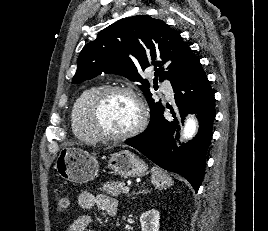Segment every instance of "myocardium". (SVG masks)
Masks as SVG:
<instances>
[{
    "instance_id": "myocardium-1",
    "label": "myocardium",
    "mask_w": 268,
    "mask_h": 231,
    "mask_svg": "<svg viewBox=\"0 0 268 231\" xmlns=\"http://www.w3.org/2000/svg\"><path fill=\"white\" fill-rule=\"evenodd\" d=\"M111 94H123L134 100L139 110V120L137 124L129 129L128 131L122 133H112L107 130L99 128L95 121L98 116V110L100 103ZM86 122L97 139H106L110 141H121L131 138L140 132H142L147 123V109L142 100V98L132 89L120 86V85H106L99 88L96 92L92 94L89 98L86 106L85 114Z\"/></svg>"
}]
</instances>
